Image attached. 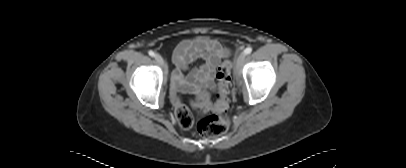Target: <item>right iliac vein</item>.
Masks as SVG:
<instances>
[{
  "instance_id": "right-iliac-vein-1",
  "label": "right iliac vein",
  "mask_w": 406,
  "mask_h": 168,
  "mask_svg": "<svg viewBox=\"0 0 406 168\" xmlns=\"http://www.w3.org/2000/svg\"><path fill=\"white\" fill-rule=\"evenodd\" d=\"M155 60H156L161 66H164V59L162 58L161 55L156 54V55H155Z\"/></svg>"
}]
</instances>
